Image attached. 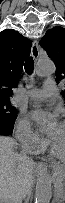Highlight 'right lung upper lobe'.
Returning a JSON list of instances; mask_svg holds the SVG:
<instances>
[{
    "mask_svg": "<svg viewBox=\"0 0 65 203\" xmlns=\"http://www.w3.org/2000/svg\"><path fill=\"white\" fill-rule=\"evenodd\" d=\"M31 46L29 39L13 29L0 32V100H9Z\"/></svg>",
    "mask_w": 65,
    "mask_h": 203,
    "instance_id": "right-lung-upper-lobe-1",
    "label": "right lung upper lobe"
}]
</instances>
